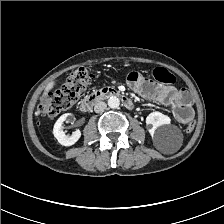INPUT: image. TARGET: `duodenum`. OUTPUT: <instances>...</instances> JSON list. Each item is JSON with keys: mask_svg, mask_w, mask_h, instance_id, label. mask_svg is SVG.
Segmentation results:
<instances>
[{"mask_svg": "<svg viewBox=\"0 0 224 224\" xmlns=\"http://www.w3.org/2000/svg\"><path fill=\"white\" fill-rule=\"evenodd\" d=\"M109 97H117L121 99L125 108L128 110H132L134 108V104L128 96H126L119 90L106 87V88L97 90L91 93L89 96H87L80 104L79 110L82 113H87L97 102H99L100 100L104 98H109Z\"/></svg>", "mask_w": 224, "mask_h": 224, "instance_id": "obj_1", "label": "duodenum"}]
</instances>
